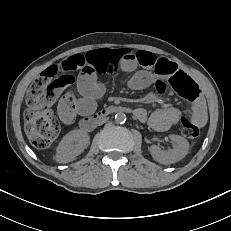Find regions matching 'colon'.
<instances>
[{
  "label": "colon",
  "mask_w": 231,
  "mask_h": 231,
  "mask_svg": "<svg viewBox=\"0 0 231 231\" xmlns=\"http://www.w3.org/2000/svg\"><path fill=\"white\" fill-rule=\"evenodd\" d=\"M74 83V77L64 72L58 64L42 72L31 84L26 94L27 110L24 114L25 132L30 143L36 148H47L60 131L58 119L49 107ZM169 84L180 96L194 101L200 96L198 85L185 73L171 76L167 81H158L160 91ZM181 133L188 139L199 136L198 125L184 117L180 123Z\"/></svg>",
  "instance_id": "5ec220e1"
}]
</instances>
